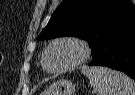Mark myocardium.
I'll list each match as a JSON object with an SVG mask.
<instances>
[{
	"label": "myocardium",
	"mask_w": 135,
	"mask_h": 95,
	"mask_svg": "<svg viewBox=\"0 0 135 95\" xmlns=\"http://www.w3.org/2000/svg\"><path fill=\"white\" fill-rule=\"evenodd\" d=\"M62 43H69V44L75 45L79 49L80 55L73 63H71L69 65H66L59 69H49L46 66V58L48 56V53L54 46H56L58 44H62ZM90 54H91L90 46L88 45V43L85 40H83L79 37H76V36H64V37H60V38L53 40L48 45V47L46 48V50L44 51V54L42 56L41 63H42L43 68L46 71L51 72V73H61V72L71 70V69L76 68L77 66L81 65L89 58Z\"/></svg>",
	"instance_id": "f54148a6"
}]
</instances>
